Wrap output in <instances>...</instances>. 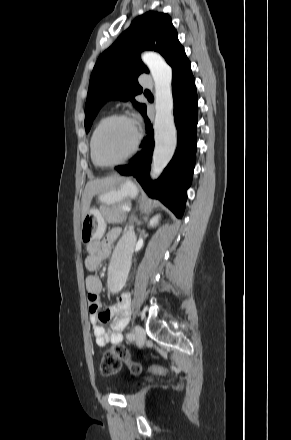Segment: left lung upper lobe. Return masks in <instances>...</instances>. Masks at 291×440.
Returning a JSON list of instances; mask_svg holds the SVG:
<instances>
[{
	"label": "left lung upper lobe",
	"instance_id": "1",
	"mask_svg": "<svg viewBox=\"0 0 291 440\" xmlns=\"http://www.w3.org/2000/svg\"><path fill=\"white\" fill-rule=\"evenodd\" d=\"M143 50L159 52L170 66L185 53L168 14L149 11L135 18L114 44L99 56L90 77L85 104L86 133L107 97L131 100L142 115L145 114L146 105L134 99L142 93L138 76L149 72L140 59Z\"/></svg>",
	"mask_w": 291,
	"mask_h": 440
}]
</instances>
